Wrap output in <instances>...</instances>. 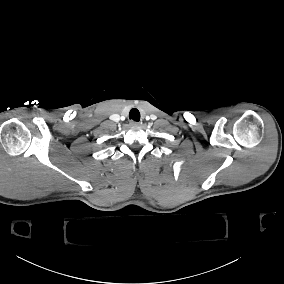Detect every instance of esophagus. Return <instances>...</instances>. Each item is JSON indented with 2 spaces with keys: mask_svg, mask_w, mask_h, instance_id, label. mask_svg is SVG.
Returning <instances> with one entry per match:
<instances>
[{
  "mask_svg": "<svg viewBox=\"0 0 284 284\" xmlns=\"http://www.w3.org/2000/svg\"><path fill=\"white\" fill-rule=\"evenodd\" d=\"M130 125H131V126H139L140 123H139V122L132 121V122H130Z\"/></svg>",
  "mask_w": 284,
  "mask_h": 284,
  "instance_id": "obj_1",
  "label": "esophagus"
}]
</instances>
